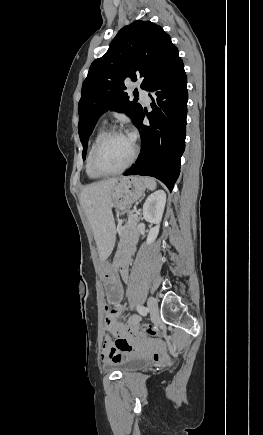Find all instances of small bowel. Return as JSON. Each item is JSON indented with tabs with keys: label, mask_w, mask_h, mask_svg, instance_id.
<instances>
[{
	"label": "small bowel",
	"mask_w": 263,
	"mask_h": 435,
	"mask_svg": "<svg viewBox=\"0 0 263 435\" xmlns=\"http://www.w3.org/2000/svg\"><path fill=\"white\" fill-rule=\"evenodd\" d=\"M135 251V240L130 239L126 245L116 252L114 259L124 262L125 277L120 278L123 281L129 279V265L131 257ZM107 309V307H106ZM123 312L122 305H109L108 314L105 319L106 330L112 334L108 337L113 343L111 350H104L102 348L101 359L107 361H120L129 355H137L140 352L141 342L144 343L145 353L151 356V359L157 364H163L165 357L159 354V349L154 348V336H144L141 332V319L137 315H133L127 324L119 320V316ZM133 341H130V340ZM159 348H164V343H159Z\"/></svg>",
	"instance_id": "small-bowel-1"
}]
</instances>
